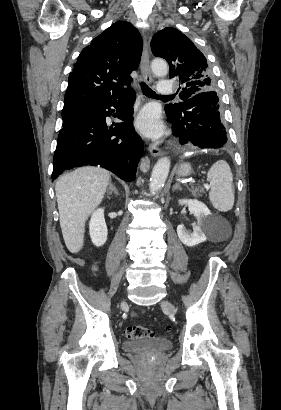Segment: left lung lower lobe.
<instances>
[{
  "label": "left lung lower lobe",
  "instance_id": "0a47b994",
  "mask_svg": "<svg viewBox=\"0 0 281 410\" xmlns=\"http://www.w3.org/2000/svg\"><path fill=\"white\" fill-rule=\"evenodd\" d=\"M181 145L220 148L227 142L216 92H202L184 101L183 112L166 114Z\"/></svg>",
  "mask_w": 281,
  "mask_h": 410
}]
</instances>
